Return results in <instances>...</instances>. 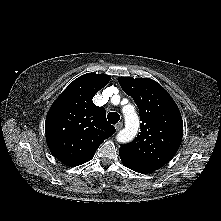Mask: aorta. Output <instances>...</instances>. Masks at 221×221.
Segmentation results:
<instances>
[{
    "instance_id": "762f6f07",
    "label": "aorta",
    "mask_w": 221,
    "mask_h": 221,
    "mask_svg": "<svg viewBox=\"0 0 221 221\" xmlns=\"http://www.w3.org/2000/svg\"><path fill=\"white\" fill-rule=\"evenodd\" d=\"M125 128L121 130L116 139L119 143H128L132 141L139 129V117L135 111L125 112Z\"/></svg>"
}]
</instances>
